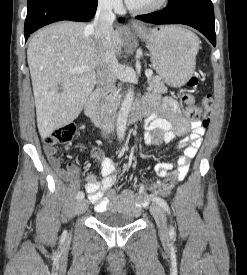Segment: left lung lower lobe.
Here are the masks:
<instances>
[{
	"label": "left lung lower lobe",
	"instance_id": "obj_1",
	"mask_svg": "<svg viewBox=\"0 0 247 275\" xmlns=\"http://www.w3.org/2000/svg\"><path fill=\"white\" fill-rule=\"evenodd\" d=\"M137 19L154 24L189 25L216 45L214 9L211 0H178L163 10L136 16Z\"/></svg>",
	"mask_w": 247,
	"mask_h": 275
}]
</instances>
